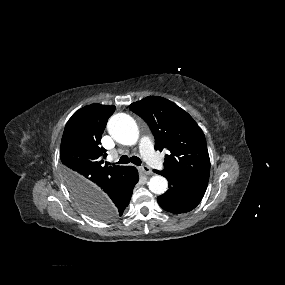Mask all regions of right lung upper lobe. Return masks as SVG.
<instances>
[{
	"label": "right lung upper lobe",
	"instance_id": "1",
	"mask_svg": "<svg viewBox=\"0 0 285 285\" xmlns=\"http://www.w3.org/2000/svg\"><path fill=\"white\" fill-rule=\"evenodd\" d=\"M114 106L92 104L75 112L67 122L60 148L63 174L70 191L81 204L121 179L129 166H107L102 133Z\"/></svg>",
	"mask_w": 285,
	"mask_h": 285
}]
</instances>
